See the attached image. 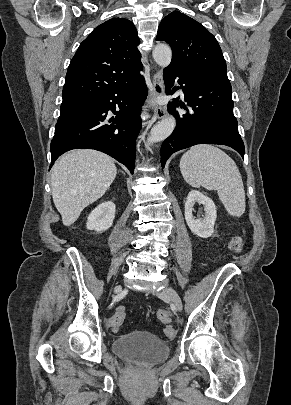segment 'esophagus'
I'll use <instances>...</instances> for the list:
<instances>
[{
    "label": "esophagus",
    "instance_id": "esophagus-1",
    "mask_svg": "<svg viewBox=\"0 0 291 405\" xmlns=\"http://www.w3.org/2000/svg\"><path fill=\"white\" fill-rule=\"evenodd\" d=\"M153 91L151 95L153 98L160 97L164 92L163 74L162 71H157L152 76ZM154 113L158 119H163L167 116V109L165 106L155 105Z\"/></svg>",
    "mask_w": 291,
    "mask_h": 405
}]
</instances>
